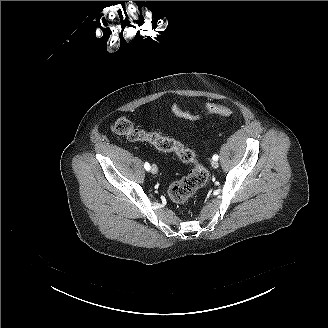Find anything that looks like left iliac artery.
Returning a JSON list of instances; mask_svg holds the SVG:
<instances>
[{
	"mask_svg": "<svg viewBox=\"0 0 328 328\" xmlns=\"http://www.w3.org/2000/svg\"><path fill=\"white\" fill-rule=\"evenodd\" d=\"M219 156L218 155H214L213 156V160H218Z\"/></svg>",
	"mask_w": 328,
	"mask_h": 328,
	"instance_id": "44dca946",
	"label": "left iliac artery"
}]
</instances>
